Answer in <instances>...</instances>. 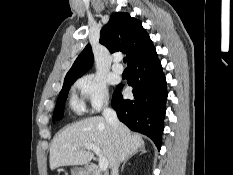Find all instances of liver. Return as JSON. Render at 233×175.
Wrapping results in <instances>:
<instances>
[{
    "instance_id": "1",
    "label": "liver",
    "mask_w": 233,
    "mask_h": 175,
    "mask_svg": "<svg viewBox=\"0 0 233 175\" xmlns=\"http://www.w3.org/2000/svg\"><path fill=\"white\" fill-rule=\"evenodd\" d=\"M85 144L98 146L112 168L136 153L144 146V141L122 123H119V136L116 139L105 118H86L68 126L54 138L50 148V169L88 164L94 154L83 149Z\"/></svg>"
}]
</instances>
